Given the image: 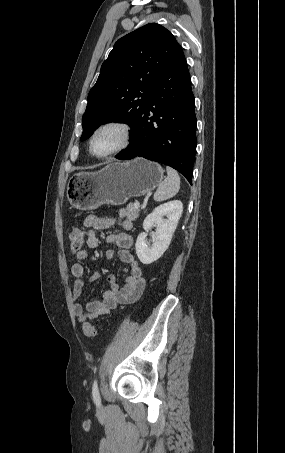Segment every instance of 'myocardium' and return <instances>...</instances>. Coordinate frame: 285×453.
<instances>
[{"label":"myocardium","mask_w":285,"mask_h":453,"mask_svg":"<svg viewBox=\"0 0 285 453\" xmlns=\"http://www.w3.org/2000/svg\"><path fill=\"white\" fill-rule=\"evenodd\" d=\"M107 128L118 129L122 134V141L117 148L110 151L109 153H106L103 155L96 154L93 150V141H94L96 135L100 131L107 129ZM132 139H133V131H132V127L130 124H128L127 122L122 121V120H108V121L103 122L100 125H98L92 132V134L89 138V151L96 158L107 159V158L116 156V155L120 154L121 152H123L124 150H126L131 145Z\"/></svg>","instance_id":"obj_1"}]
</instances>
